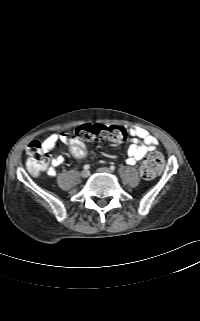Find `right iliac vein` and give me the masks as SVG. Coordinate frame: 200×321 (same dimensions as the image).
<instances>
[{
  "instance_id": "63e3f726",
  "label": "right iliac vein",
  "mask_w": 200,
  "mask_h": 321,
  "mask_svg": "<svg viewBox=\"0 0 200 321\" xmlns=\"http://www.w3.org/2000/svg\"><path fill=\"white\" fill-rule=\"evenodd\" d=\"M89 171L88 170H83L81 173H80V176L82 177V178H87L88 176H89Z\"/></svg>"
}]
</instances>
